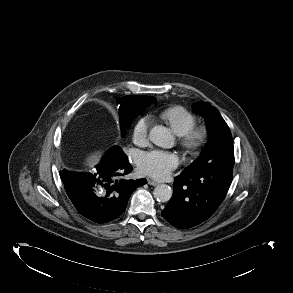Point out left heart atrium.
Wrapping results in <instances>:
<instances>
[{"mask_svg": "<svg viewBox=\"0 0 293 293\" xmlns=\"http://www.w3.org/2000/svg\"><path fill=\"white\" fill-rule=\"evenodd\" d=\"M179 164L178 157L161 150H153L140 154L138 158L139 170L152 178L164 179Z\"/></svg>", "mask_w": 293, "mask_h": 293, "instance_id": "left-heart-atrium-1", "label": "left heart atrium"}]
</instances>
